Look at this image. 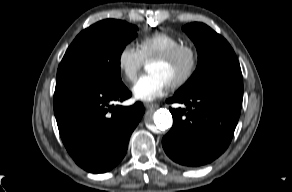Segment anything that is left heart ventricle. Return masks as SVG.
I'll use <instances>...</instances> for the list:
<instances>
[{"label":"left heart ventricle","mask_w":292,"mask_h":192,"mask_svg":"<svg viewBox=\"0 0 292 192\" xmlns=\"http://www.w3.org/2000/svg\"><path fill=\"white\" fill-rule=\"evenodd\" d=\"M189 63L188 54L182 53L170 62L150 61L147 65V70L160 74L170 84L185 73Z\"/></svg>","instance_id":"b2bd125f"}]
</instances>
